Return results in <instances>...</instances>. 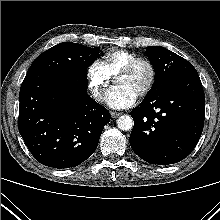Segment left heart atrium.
<instances>
[{
    "label": "left heart atrium",
    "mask_w": 220,
    "mask_h": 220,
    "mask_svg": "<svg viewBox=\"0 0 220 220\" xmlns=\"http://www.w3.org/2000/svg\"><path fill=\"white\" fill-rule=\"evenodd\" d=\"M137 96L130 87L118 85L107 92L105 102L113 109H125L136 102Z\"/></svg>",
    "instance_id": "left-heart-atrium-1"
}]
</instances>
